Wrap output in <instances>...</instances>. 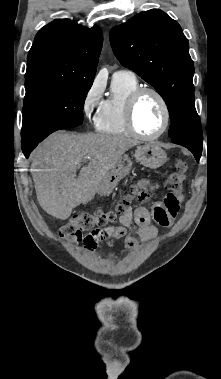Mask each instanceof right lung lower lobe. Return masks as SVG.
<instances>
[{"label": "right lung lower lobe", "mask_w": 221, "mask_h": 379, "mask_svg": "<svg viewBox=\"0 0 221 379\" xmlns=\"http://www.w3.org/2000/svg\"><path fill=\"white\" fill-rule=\"evenodd\" d=\"M44 138H40L38 140H23L22 139V151L26 158L29 157L32 150L37 146V144L42 141Z\"/></svg>", "instance_id": "right-lung-lower-lobe-1"}]
</instances>
